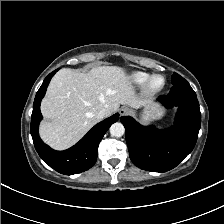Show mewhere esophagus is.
<instances>
[{"label":"esophagus","mask_w":224,"mask_h":224,"mask_svg":"<svg viewBox=\"0 0 224 224\" xmlns=\"http://www.w3.org/2000/svg\"><path fill=\"white\" fill-rule=\"evenodd\" d=\"M129 112H130V109L126 106L121 107L119 110L120 116H124V115L128 114Z\"/></svg>","instance_id":"1"}]
</instances>
